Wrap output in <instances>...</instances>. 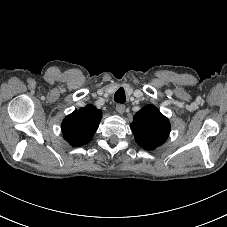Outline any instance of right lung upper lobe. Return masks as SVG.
<instances>
[{"label":"right lung upper lobe","instance_id":"obj_1","mask_svg":"<svg viewBox=\"0 0 227 227\" xmlns=\"http://www.w3.org/2000/svg\"><path fill=\"white\" fill-rule=\"evenodd\" d=\"M101 114V110L87 105L68 115L62 122L65 140L75 147L89 142L99 126Z\"/></svg>","mask_w":227,"mask_h":227}]
</instances>
